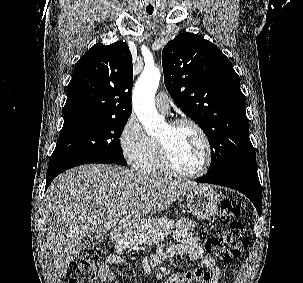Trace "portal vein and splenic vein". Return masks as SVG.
<instances>
[{
    "mask_svg": "<svg viewBox=\"0 0 303 283\" xmlns=\"http://www.w3.org/2000/svg\"><path fill=\"white\" fill-rule=\"evenodd\" d=\"M126 212V208H124L122 211H121V213H125Z\"/></svg>",
    "mask_w": 303,
    "mask_h": 283,
    "instance_id": "1",
    "label": "portal vein and splenic vein"
}]
</instances>
